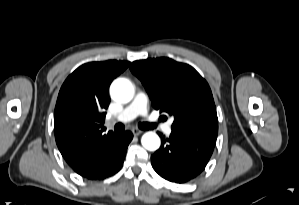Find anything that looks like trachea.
Instances as JSON below:
<instances>
[{"instance_id": "3493384b", "label": "trachea", "mask_w": 299, "mask_h": 205, "mask_svg": "<svg viewBox=\"0 0 299 205\" xmlns=\"http://www.w3.org/2000/svg\"><path fill=\"white\" fill-rule=\"evenodd\" d=\"M139 128L142 129V130H149V129H154L156 128V124H153V123H147V122H144V123H139L138 124ZM124 125L122 123H118L114 126V130L117 132V133H121L124 131Z\"/></svg>"}]
</instances>
